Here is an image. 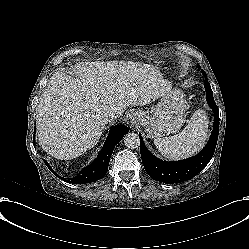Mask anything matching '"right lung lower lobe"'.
Segmentation results:
<instances>
[{
	"mask_svg": "<svg viewBox=\"0 0 249 249\" xmlns=\"http://www.w3.org/2000/svg\"><path fill=\"white\" fill-rule=\"evenodd\" d=\"M127 132H129V129L124 125L113 126L97 159L84 168L79 175L68 180V182L74 184H85L101 179L107 173L108 164L115 145L121 141ZM45 164L52 171L49 164L47 162H45Z\"/></svg>",
	"mask_w": 249,
	"mask_h": 249,
	"instance_id": "98d812e1",
	"label": "right lung lower lobe"
}]
</instances>
